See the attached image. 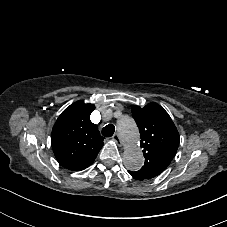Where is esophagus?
Returning <instances> with one entry per match:
<instances>
[{
    "mask_svg": "<svg viewBox=\"0 0 227 227\" xmlns=\"http://www.w3.org/2000/svg\"><path fill=\"white\" fill-rule=\"evenodd\" d=\"M113 140L117 143L118 146H122V141H121V139H120L118 133H115V134L113 135Z\"/></svg>",
    "mask_w": 227,
    "mask_h": 227,
    "instance_id": "34e87169",
    "label": "esophagus"
}]
</instances>
